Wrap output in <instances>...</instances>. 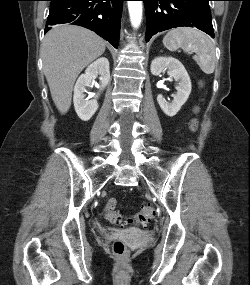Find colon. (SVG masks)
<instances>
[{
  "label": "colon",
  "mask_w": 250,
  "mask_h": 285,
  "mask_svg": "<svg viewBox=\"0 0 250 285\" xmlns=\"http://www.w3.org/2000/svg\"><path fill=\"white\" fill-rule=\"evenodd\" d=\"M197 122L193 121L191 123V128L196 129ZM117 200L115 198H110L104 207V216L112 224L118 226L125 225H141L145 226L148 224L155 216V209L150 204H145L142 208L136 212L133 216L129 218H124L119 212L116 211ZM112 251L115 257L118 259H124L128 255V249L125 243L121 240H116L113 242Z\"/></svg>",
  "instance_id": "1"
}]
</instances>
